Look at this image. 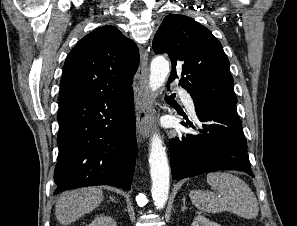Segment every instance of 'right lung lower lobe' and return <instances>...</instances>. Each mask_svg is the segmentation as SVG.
Instances as JSON below:
<instances>
[{
  "label": "right lung lower lobe",
  "instance_id": "obj_1",
  "mask_svg": "<svg viewBox=\"0 0 297 226\" xmlns=\"http://www.w3.org/2000/svg\"><path fill=\"white\" fill-rule=\"evenodd\" d=\"M54 195L112 185L131 188L136 156L133 89L60 103Z\"/></svg>",
  "mask_w": 297,
  "mask_h": 226
}]
</instances>
